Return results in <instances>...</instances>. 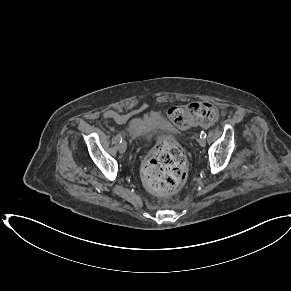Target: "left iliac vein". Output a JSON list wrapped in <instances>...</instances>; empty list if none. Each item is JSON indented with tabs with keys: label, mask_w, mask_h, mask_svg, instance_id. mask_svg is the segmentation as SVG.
Returning <instances> with one entry per match:
<instances>
[{
	"label": "left iliac vein",
	"mask_w": 291,
	"mask_h": 291,
	"mask_svg": "<svg viewBox=\"0 0 291 291\" xmlns=\"http://www.w3.org/2000/svg\"><path fill=\"white\" fill-rule=\"evenodd\" d=\"M198 142H199V145H200L201 147H204V146L206 145V140H205V138H199Z\"/></svg>",
	"instance_id": "left-iliac-vein-1"
}]
</instances>
